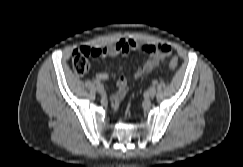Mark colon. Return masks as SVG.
<instances>
[{
  "mask_svg": "<svg viewBox=\"0 0 243 167\" xmlns=\"http://www.w3.org/2000/svg\"><path fill=\"white\" fill-rule=\"evenodd\" d=\"M92 55V49L87 47H81L76 49L72 54V66L76 74L85 75L89 68V57ZM178 66L177 58L173 57L169 61V67L175 70Z\"/></svg>",
  "mask_w": 243,
  "mask_h": 167,
  "instance_id": "obj_1",
  "label": "colon"
}]
</instances>
